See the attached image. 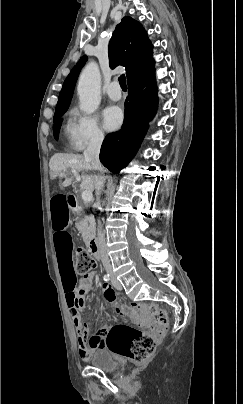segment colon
Instances as JSON below:
<instances>
[{
  "label": "colon",
  "instance_id": "colon-1",
  "mask_svg": "<svg viewBox=\"0 0 243 404\" xmlns=\"http://www.w3.org/2000/svg\"><path fill=\"white\" fill-rule=\"evenodd\" d=\"M77 270L87 275L95 266L94 258L83 248L77 249ZM139 308H145L153 315L158 324L151 332H144L127 324H116L108 333L106 347L113 353L137 362L147 360L155 351L160 333L167 326L166 312L155 305L134 303Z\"/></svg>",
  "mask_w": 243,
  "mask_h": 404
}]
</instances>
